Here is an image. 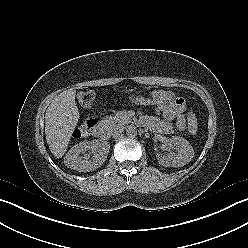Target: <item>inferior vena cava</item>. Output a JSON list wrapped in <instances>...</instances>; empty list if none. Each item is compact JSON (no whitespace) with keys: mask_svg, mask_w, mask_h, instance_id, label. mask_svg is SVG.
Listing matches in <instances>:
<instances>
[{"mask_svg":"<svg viewBox=\"0 0 248 248\" xmlns=\"http://www.w3.org/2000/svg\"><path fill=\"white\" fill-rule=\"evenodd\" d=\"M122 130H123V128H121V127L113 128L110 131V135H112V136H118V135H120V133L122 132Z\"/></svg>","mask_w":248,"mask_h":248,"instance_id":"602c4592","label":"inferior vena cava"}]
</instances>
